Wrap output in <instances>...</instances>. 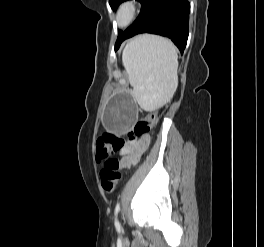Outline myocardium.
<instances>
[{
	"label": "myocardium",
	"instance_id": "f54148a6",
	"mask_svg": "<svg viewBox=\"0 0 264 247\" xmlns=\"http://www.w3.org/2000/svg\"><path fill=\"white\" fill-rule=\"evenodd\" d=\"M138 13L139 5L136 0H125L116 9L115 21L119 27H127L135 21Z\"/></svg>",
	"mask_w": 264,
	"mask_h": 247
}]
</instances>
